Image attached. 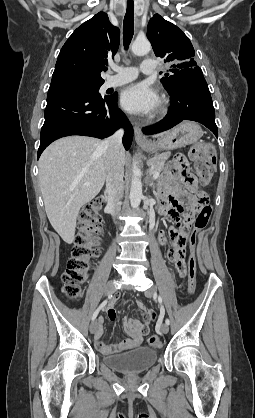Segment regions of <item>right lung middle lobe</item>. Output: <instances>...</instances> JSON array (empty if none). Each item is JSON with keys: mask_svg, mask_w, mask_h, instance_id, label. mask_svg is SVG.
Returning <instances> with one entry per match:
<instances>
[{"mask_svg": "<svg viewBox=\"0 0 255 418\" xmlns=\"http://www.w3.org/2000/svg\"><path fill=\"white\" fill-rule=\"evenodd\" d=\"M102 84L103 83H76L49 88V90H87L98 93Z\"/></svg>", "mask_w": 255, "mask_h": 418, "instance_id": "right-lung-middle-lobe-1", "label": "right lung middle lobe"}]
</instances>
